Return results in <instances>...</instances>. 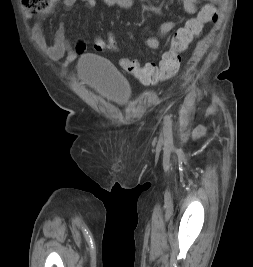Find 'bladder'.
I'll use <instances>...</instances> for the list:
<instances>
[{
  "mask_svg": "<svg viewBox=\"0 0 253 267\" xmlns=\"http://www.w3.org/2000/svg\"><path fill=\"white\" fill-rule=\"evenodd\" d=\"M78 76L98 93L116 102H127L131 97L132 91L127 80L98 55L85 54L81 57Z\"/></svg>",
  "mask_w": 253,
  "mask_h": 267,
  "instance_id": "obj_1",
  "label": "bladder"
}]
</instances>
